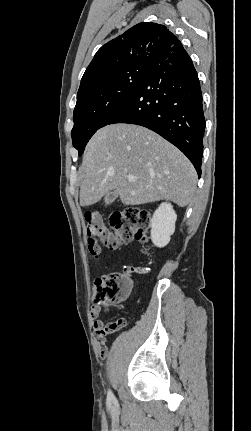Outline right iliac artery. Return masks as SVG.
Listing matches in <instances>:
<instances>
[{"instance_id":"1","label":"right iliac artery","mask_w":251,"mask_h":431,"mask_svg":"<svg viewBox=\"0 0 251 431\" xmlns=\"http://www.w3.org/2000/svg\"><path fill=\"white\" fill-rule=\"evenodd\" d=\"M107 399L109 401H113L114 400V395H113V393L110 390L108 391Z\"/></svg>"}]
</instances>
